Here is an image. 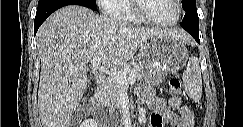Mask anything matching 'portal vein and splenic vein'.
<instances>
[{"instance_id":"portal-vein-and-splenic-vein-1","label":"portal vein and splenic vein","mask_w":243,"mask_h":127,"mask_svg":"<svg viewBox=\"0 0 243 127\" xmlns=\"http://www.w3.org/2000/svg\"><path fill=\"white\" fill-rule=\"evenodd\" d=\"M91 66L94 71H99L100 73L107 74L110 78L115 80L121 85H128L130 82H134L136 79L135 72H130L129 77H126V74L116 70V69H107L105 66L101 65V59L100 58H94L91 61Z\"/></svg>"}]
</instances>
